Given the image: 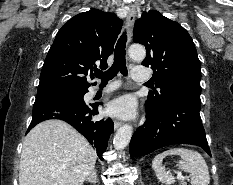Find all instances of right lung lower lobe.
<instances>
[{"instance_id": "obj_1", "label": "right lung lower lobe", "mask_w": 233, "mask_h": 185, "mask_svg": "<svg viewBox=\"0 0 233 185\" xmlns=\"http://www.w3.org/2000/svg\"><path fill=\"white\" fill-rule=\"evenodd\" d=\"M96 114H98L97 105L86 104L83 98L52 94L40 95L36 97L32 121L27 132L44 120H64L95 146L97 155L102 159V154L107 148L108 139L113 132L114 124L111 119L93 121L92 116Z\"/></svg>"}]
</instances>
